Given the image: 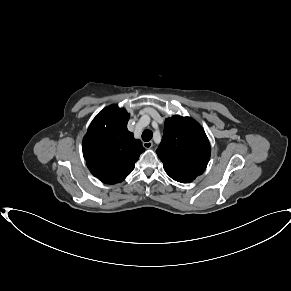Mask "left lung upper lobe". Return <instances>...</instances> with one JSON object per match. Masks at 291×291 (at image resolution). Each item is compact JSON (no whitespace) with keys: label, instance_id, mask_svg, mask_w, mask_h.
Here are the masks:
<instances>
[{"label":"left lung upper lobe","instance_id":"left-lung-upper-lobe-1","mask_svg":"<svg viewBox=\"0 0 291 291\" xmlns=\"http://www.w3.org/2000/svg\"><path fill=\"white\" fill-rule=\"evenodd\" d=\"M166 173L181 183L201 175L210 159V144L203 128L190 117L167 118L156 150Z\"/></svg>","mask_w":291,"mask_h":291}]
</instances>
